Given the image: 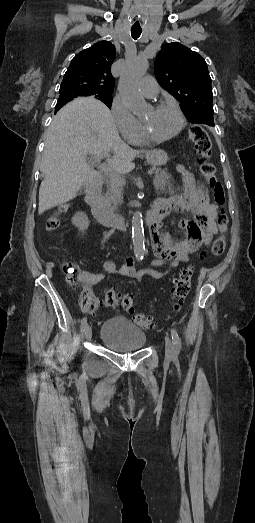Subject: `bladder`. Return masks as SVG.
I'll return each instance as SVG.
<instances>
[{"instance_id": "obj_1", "label": "bladder", "mask_w": 255, "mask_h": 523, "mask_svg": "<svg viewBox=\"0 0 255 523\" xmlns=\"http://www.w3.org/2000/svg\"><path fill=\"white\" fill-rule=\"evenodd\" d=\"M100 340L115 352H129L142 348L147 336L127 319H107L102 326Z\"/></svg>"}]
</instances>
